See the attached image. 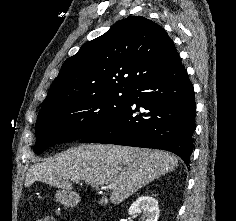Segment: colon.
<instances>
[{
	"mask_svg": "<svg viewBox=\"0 0 236 221\" xmlns=\"http://www.w3.org/2000/svg\"><path fill=\"white\" fill-rule=\"evenodd\" d=\"M35 221H57L56 218L52 215H45L44 217L37 219Z\"/></svg>",
	"mask_w": 236,
	"mask_h": 221,
	"instance_id": "1",
	"label": "colon"
}]
</instances>
